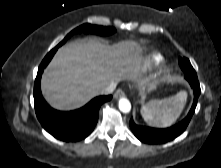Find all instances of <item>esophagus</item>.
<instances>
[{"label": "esophagus", "instance_id": "esophagus-1", "mask_svg": "<svg viewBox=\"0 0 221 168\" xmlns=\"http://www.w3.org/2000/svg\"><path fill=\"white\" fill-rule=\"evenodd\" d=\"M124 96H125V93L122 89H118L114 94L115 99H119V98L124 97Z\"/></svg>", "mask_w": 221, "mask_h": 168}]
</instances>
